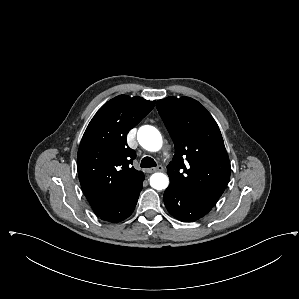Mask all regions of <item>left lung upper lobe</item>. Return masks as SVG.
<instances>
[{
    "label": "left lung upper lobe",
    "instance_id": "left-lung-upper-lobe-1",
    "mask_svg": "<svg viewBox=\"0 0 299 299\" xmlns=\"http://www.w3.org/2000/svg\"><path fill=\"white\" fill-rule=\"evenodd\" d=\"M156 106L175 145V155L167 166L170 183L213 207L231 173L217 123L190 97H167Z\"/></svg>",
    "mask_w": 299,
    "mask_h": 299
}]
</instances>
